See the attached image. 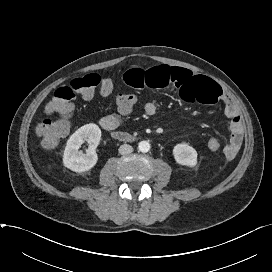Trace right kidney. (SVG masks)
Masks as SVG:
<instances>
[{
    "instance_id": "right-kidney-1",
    "label": "right kidney",
    "mask_w": 272,
    "mask_h": 272,
    "mask_svg": "<svg viewBox=\"0 0 272 272\" xmlns=\"http://www.w3.org/2000/svg\"><path fill=\"white\" fill-rule=\"evenodd\" d=\"M100 139L101 130L96 124L89 123L80 127L67 141L63 155L64 166L79 173L92 169L98 160L95 149ZM84 141L89 144L86 154L79 151Z\"/></svg>"
}]
</instances>
